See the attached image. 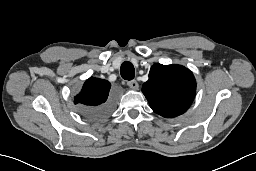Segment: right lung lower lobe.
Here are the masks:
<instances>
[{
  "label": "right lung lower lobe",
  "instance_id": "1",
  "mask_svg": "<svg viewBox=\"0 0 256 171\" xmlns=\"http://www.w3.org/2000/svg\"><path fill=\"white\" fill-rule=\"evenodd\" d=\"M114 109V100L110 98L106 103L95 108L87 109L82 114L91 120L103 119L108 116Z\"/></svg>",
  "mask_w": 256,
  "mask_h": 171
}]
</instances>
